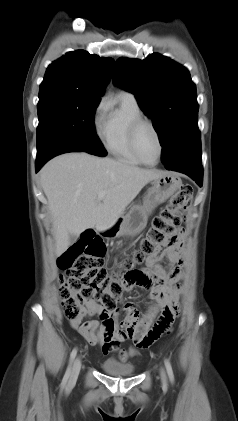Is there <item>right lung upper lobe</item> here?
I'll list each match as a JSON object with an SVG mask.
<instances>
[{
	"mask_svg": "<svg viewBox=\"0 0 238 421\" xmlns=\"http://www.w3.org/2000/svg\"><path fill=\"white\" fill-rule=\"evenodd\" d=\"M114 60L85 50L68 52L49 65L40 90L54 89L102 96L112 75Z\"/></svg>",
	"mask_w": 238,
	"mask_h": 421,
	"instance_id": "obj_1",
	"label": "right lung upper lobe"
}]
</instances>
